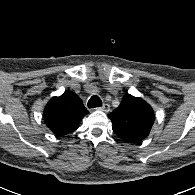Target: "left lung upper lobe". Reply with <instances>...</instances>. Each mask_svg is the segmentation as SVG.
I'll use <instances>...</instances> for the list:
<instances>
[{"label": "left lung upper lobe", "instance_id": "5c2ea615", "mask_svg": "<svg viewBox=\"0 0 195 195\" xmlns=\"http://www.w3.org/2000/svg\"><path fill=\"white\" fill-rule=\"evenodd\" d=\"M108 117L113 123V131L127 143H140L149 135L154 123L150 105L129 94Z\"/></svg>", "mask_w": 195, "mask_h": 195}]
</instances>
